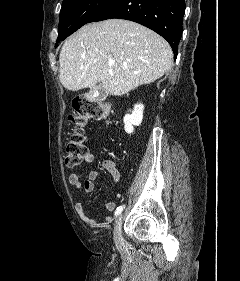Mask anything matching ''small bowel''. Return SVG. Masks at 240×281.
<instances>
[{
	"label": "small bowel",
	"mask_w": 240,
	"mask_h": 281,
	"mask_svg": "<svg viewBox=\"0 0 240 281\" xmlns=\"http://www.w3.org/2000/svg\"><path fill=\"white\" fill-rule=\"evenodd\" d=\"M95 160V155L93 153H88L85 157V162L92 163ZM103 169L111 176L112 181L117 184L120 181V173L116 167V164L113 160L107 159L102 164ZM99 178V172L97 170H89L87 177L82 180L77 173H72L69 178L68 182L70 185L75 187L76 189H82L86 193H91L94 190L95 183L97 179ZM105 208L108 211H113L116 208V205L114 202L110 200H105ZM75 210L82 221H84L86 224L97 227L98 222L96 219L89 217L85 210L83 203L77 202L75 205ZM106 221H110V217L105 218Z\"/></svg>",
	"instance_id": "small-bowel-1"
}]
</instances>
